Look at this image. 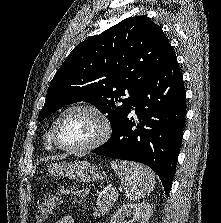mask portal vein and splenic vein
Wrapping results in <instances>:
<instances>
[{
	"label": "portal vein and splenic vein",
	"instance_id": "portal-vein-and-splenic-vein-1",
	"mask_svg": "<svg viewBox=\"0 0 221 223\" xmlns=\"http://www.w3.org/2000/svg\"><path fill=\"white\" fill-rule=\"evenodd\" d=\"M108 191H110L111 193H114V189L113 188H108Z\"/></svg>",
	"mask_w": 221,
	"mask_h": 223
}]
</instances>
